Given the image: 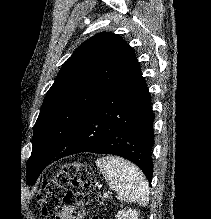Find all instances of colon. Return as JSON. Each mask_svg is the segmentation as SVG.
<instances>
[{
	"label": "colon",
	"mask_w": 211,
	"mask_h": 219,
	"mask_svg": "<svg viewBox=\"0 0 211 219\" xmlns=\"http://www.w3.org/2000/svg\"><path fill=\"white\" fill-rule=\"evenodd\" d=\"M69 184L71 188L67 189ZM94 185V176L80 163L63 165L53 178L44 183L37 195L41 215L51 217L63 204L84 211L91 202L90 191ZM91 219L99 218L93 215Z\"/></svg>",
	"instance_id": "1"
}]
</instances>
